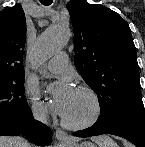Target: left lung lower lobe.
<instances>
[{"mask_svg": "<svg viewBox=\"0 0 145 147\" xmlns=\"http://www.w3.org/2000/svg\"><path fill=\"white\" fill-rule=\"evenodd\" d=\"M113 134L132 142L136 147H145V110L124 115L105 127L95 124L88 129L73 133L77 137Z\"/></svg>", "mask_w": 145, "mask_h": 147, "instance_id": "0a47b994", "label": "left lung lower lobe"}]
</instances>
